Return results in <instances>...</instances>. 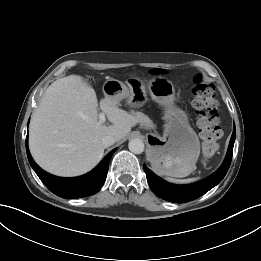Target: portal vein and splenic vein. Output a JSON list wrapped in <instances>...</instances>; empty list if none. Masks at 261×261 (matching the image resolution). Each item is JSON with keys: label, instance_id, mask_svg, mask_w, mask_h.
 Returning a JSON list of instances; mask_svg holds the SVG:
<instances>
[{"label": "portal vein and splenic vein", "instance_id": "obj_1", "mask_svg": "<svg viewBox=\"0 0 261 261\" xmlns=\"http://www.w3.org/2000/svg\"><path fill=\"white\" fill-rule=\"evenodd\" d=\"M99 121L101 123H104L106 121L105 114L103 112L99 114Z\"/></svg>", "mask_w": 261, "mask_h": 261}]
</instances>
